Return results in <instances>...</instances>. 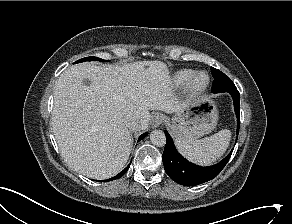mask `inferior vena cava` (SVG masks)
<instances>
[{"label": "inferior vena cava", "mask_w": 292, "mask_h": 224, "mask_svg": "<svg viewBox=\"0 0 292 224\" xmlns=\"http://www.w3.org/2000/svg\"><path fill=\"white\" fill-rule=\"evenodd\" d=\"M127 128L129 131H138L140 130L139 122L135 119H129L126 123Z\"/></svg>", "instance_id": "inferior-vena-cava-1"}]
</instances>
